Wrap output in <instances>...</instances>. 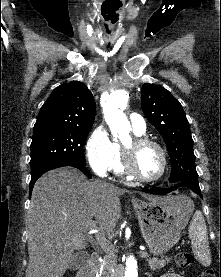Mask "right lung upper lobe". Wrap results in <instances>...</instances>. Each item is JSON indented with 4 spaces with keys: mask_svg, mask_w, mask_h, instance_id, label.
Returning a JSON list of instances; mask_svg holds the SVG:
<instances>
[{
    "mask_svg": "<svg viewBox=\"0 0 221 277\" xmlns=\"http://www.w3.org/2000/svg\"><path fill=\"white\" fill-rule=\"evenodd\" d=\"M96 104L87 86L71 81L55 88L43 104L34 128L45 126L92 127Z\"/></svg>",
    "mask_w": 221,
    "mask_h": 277,
    "instance_id": "obj_1",
    "label": "right lung upper lobe"
}]
</instances>
